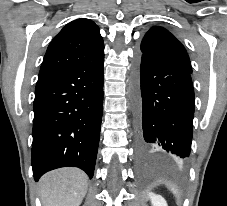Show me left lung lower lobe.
Returning a JSON list of instances; mask_svg holds the SVG:
<instances>
[{
	"label": "left lung lower lobe",
	"instance_id": "left-lung-lower-lobe-1",
	"mask_svg": "<svg viewBox=\"0 0 227 206\" xmlns=\"http://www.w3.org/2000/svg\"><path fill=\"white\" fill-rule=\"evenodd\" d=\"M190 73L137 54L135 138L141 156L159 151L179 160L189 157L195 106Z\"/></svg>",
	"mask_w": 227,
	"mask_h": 206
}]
</instances>
